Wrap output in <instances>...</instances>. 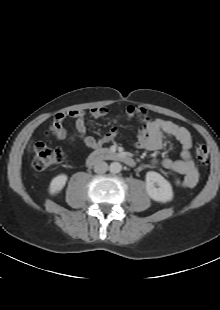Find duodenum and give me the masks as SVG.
Masks as SVG:
<instances>
[{
    "instance_id": "1",
    "label": "duodenum",
    "mask_w": 220,
    "mask_h": 310,
    "mask_svg": "<svg viewBox=\"0 0 220 310\" xmlns=\"http://www.w3.org/2000/svg\"><path fill=\"white\" fill-rule=\"evenodd\" d=\"M102 160L117 161L130 167H133L135 165V161L131 156L110 149H98L92 152L87 158V164L93 165Z\"/></svg>"
}]
</instances>
